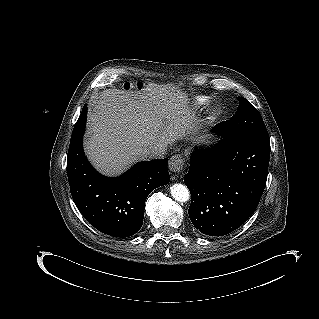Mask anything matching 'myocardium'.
Returning a JSON list of instances; mask_svg holds the SVG:
<instances>
[{
    "label": "myocardium",
    "instance_id": "f54148a6",
    "mask_svg": "<svg viewBox=\"0 0 319 319\" xmlns=\"http://www.w3.org/2000/svg\"><path fill=\"white\" fill-rule=\"evenodd\" d=\"M216 108H217V106L214 104V105L210 106L209 111L211 113H214L216 111Z\"/></svg>",
    "mask_w": 319,
    "mask_h": 319
}]
</instances>
